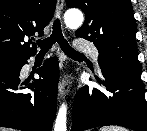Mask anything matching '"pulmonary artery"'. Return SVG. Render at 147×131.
<instances>
[{
	"mask_svg": "<svg viewBox=\"0 0 147 131\" xmlns=\"http://www.w3.org/2000/svg\"><path fill=\"white\" fill-rule=\"evenodd\" d=\"M75 46L79 51L89 53L92 56V58L96 62H98L99 52L94 45L84 41H76Z\"/></svg>",
	"mask_w": 147,
	"mask_h": 131,
	"instance_id": "e3ab8cb5",
	"label": "pulmonary artery"
}]
</instances>
